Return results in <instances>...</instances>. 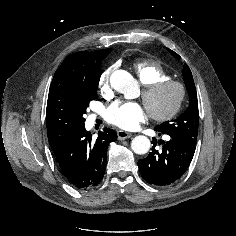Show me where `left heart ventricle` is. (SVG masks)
<instances>
[{
	"label": "left heart ventricle",
	"mask_w": 236,
	"mask_h": 236,
	"mask_svg": "<svg viewBox=\"0 0 236 236\" xmlns=\"http://www.w3.org/2000/svg\"><path fill=\"white\" fill-rule=\"evenodd\" d=\"M177 90L174 87H167L154 95L147 103L150 110L161 113L167 110L175 101Z\"/></svg>",
	"instance_id": "left-heart-ventricle-1"
}]
</instances>
